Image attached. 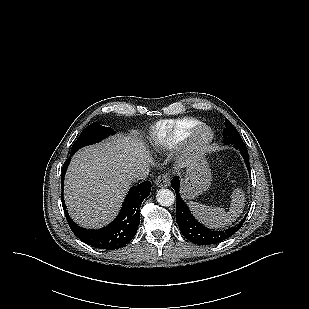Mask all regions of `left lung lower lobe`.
Listing matches in <instances>:
<instances>
[{
	"label": "left lung lower lobe",
	"instance_id": "1",
	"mask_svg": "<svg viewBox=\"0 0 309 309\" xmlns=\"http://www.w3.org/2000/svg\"><path fill=\"white\" fill-rule=\"evenodd\" d=\"M235 148H237L245 161V164L250 171V163L248 157L247 147L244 142L234 143L232 144ZM172 187L176 192V221L180 228L182 234L191 242L198 245H210L216 244L226 240L235 234L243 225L245 218L242 222H240L237 226L229 228L225 231H214L205 226H203L200 222H198L195 217L189 211L188 206L181 199L179 194V186L180 180L178 177L173 178Z\"/></svg>",
	"mask_w": 309,
	"mask_h": 309
}]
</instances>
